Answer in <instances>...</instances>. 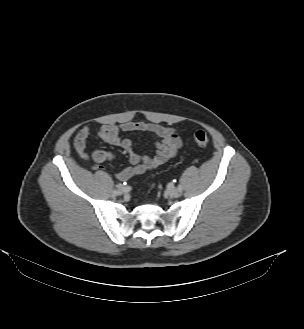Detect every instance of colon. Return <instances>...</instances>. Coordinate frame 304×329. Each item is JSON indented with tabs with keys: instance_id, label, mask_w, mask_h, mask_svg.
Here are the masks:
<instances>
[{
	"instance_id": "5ec220e1",
	"label": "colon",
	"mask_w": 304,
	"mask_h": 329,
	"mask_svg": "<svg viewBox=\"0 0 304 329\" xmlns=\"http://www.w3.org/2000/svg\"><path fill=\"white\" fill-rule=\"evenodd\" d=\"M194 141L197 145H199L201 147H205L209 142V138H208V135L206 134V132L197 131L194 135Z\"/></svg>"
}]
</instances>
